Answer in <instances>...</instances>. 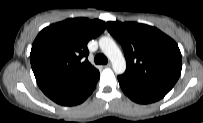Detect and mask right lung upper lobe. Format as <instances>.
<instances>
[{
  "instance_id": "cb5924a9",
  "label": "right lung upper lobe",
  "mask_w": 203,
  "mask_h": 123,
  "mask_svg": "<svg viewBox=\"0 0 203 123\" xmlns=\"http://www.w3.org/2000/svg\"><path fill=\"white\" fill-rule=\"evenodd\" d=\"M101 20L70 18L39 32L33 42L30 62L38 86L87 79L99 71L86 59L87 43L105 30Z\"/></svg>"
}]
</instances>
